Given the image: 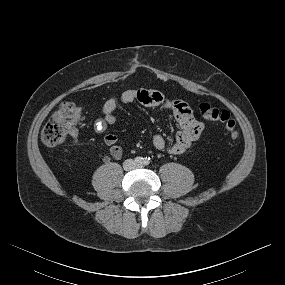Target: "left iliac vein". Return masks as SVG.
Instances as JSON below:
<instances>
[{
    "label": "left iliac vein",
    "mask_w": 285,
    "mask_h": 285,
    "mask_svg": "<svg viewBox=\"0 0 285 285\" xmlns=\"http://www.w3.org/2000/svg\"><path fill=\"white\" fill-rule=\"evenodd\" d=\"M137 167H141V164H138Z\"/></svg>",
    "instance_id": "left-iliac-vein-1"
}]
</instances>
